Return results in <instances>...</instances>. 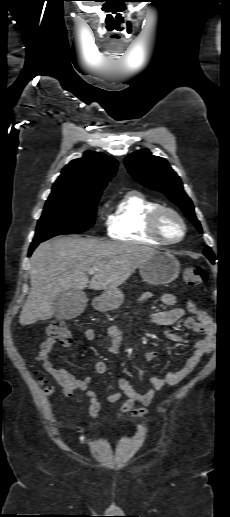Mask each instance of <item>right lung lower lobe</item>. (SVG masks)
<instances>
[{"label": "right lung lower lobe", "instance_id": "right-lung-lower-lobe-1", "mask_svg": "<svg viewBox=\"0 0 230 517\" xmlns=\"http://www.w3.org/2000/svg\"><path fill=\"white\" fill-rule=\"evenodd\" d=\"M39 243H32L31 246H30V249H29V253H28V256L31 255V253L33 252V250L38 246Z\"/></svg>", "mask_w": 230, "mask_h": 517}]
</instances>
